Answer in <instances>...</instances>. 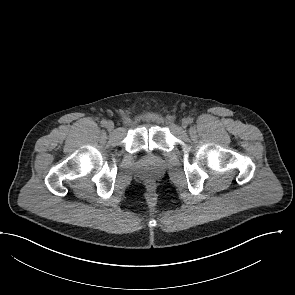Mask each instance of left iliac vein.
I'll return each mask as SVG.
<instances>
[{
    "label": "left iliac vein",
    "mask_w": 295,
    "mask_h": 295,
    "mask_svg": "<svg viewBox=\"0 0 295 295\" xmlns=\"http://www.w3.org/2000/svg\"><path fill=\"white\" fill-rule=\"evenodd\" d=\"M189 122H188V119H183L182 120V127L183 128H186L188 126Z\"/></svg>",
    "instance_id": "1"
}]
</instances>
